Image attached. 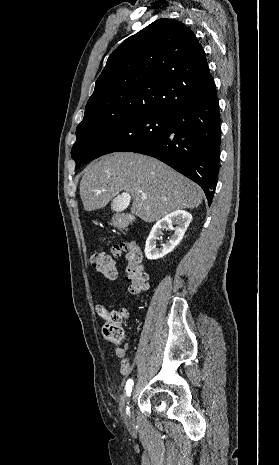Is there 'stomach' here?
<instances>
[{
  "label": "stomach",
  "mask_w": 279,
  "mask_h": 465,
  "mask_svg": "<svg viewBox=\"0 0 279 465\" xmlns=\"http://www.w3.org/2000/svg\"><path fill=\"white\" fill-rule=\"evenodd\" d=\"M113 222L116 226H124L126 224V221H124L121 217H114Z\"/></svg>",
  "instance_id": "obj_1"
}]
</instances>
